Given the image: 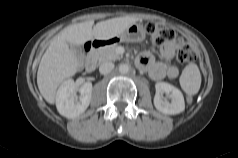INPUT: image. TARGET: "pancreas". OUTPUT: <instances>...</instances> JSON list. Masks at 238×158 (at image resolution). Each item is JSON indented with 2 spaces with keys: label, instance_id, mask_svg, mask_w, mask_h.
Segmentation results:
<instances>
[{
  "label": "pancreas",
  "instance_id": "1",
  "mask_svg": "<svg viewBox=\"0 0 238 158\" xmlns=\"http://www.w3.org/2000/svg\"><path fill=\"white\" fill-rule=\"evenodd\" d=\"M117 45H109L96 50L95 58L101 63L106 61H115L121 56L116 52Z\"/></svg>",
  "mask_w": 238,
  "mask_h": 158
}]
</instances>
